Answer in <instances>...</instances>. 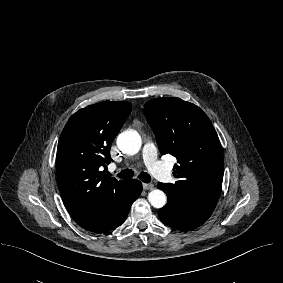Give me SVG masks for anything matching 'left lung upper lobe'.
<instances>
[{
    "mask_svg": "<svg viewBox=\"0 0 283 283\" xmlns=\"http://www.w3.org/2000/svg\"><path fill=\"white\" fill-rule=\"evenodd\" d=\"M143 113L160 152L178 161L173 168L177 181L164 184L167 191L212 211L221 191L223 156L210 119L198 106L176 97L152 99Z\"/></svg>",
    "mask_w": 283,
    "mask_h": 283,
    "instance_id": "obj_1",
    "label": "left lung upper lobe"
}]
</instances>
